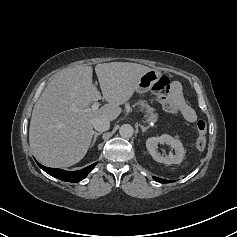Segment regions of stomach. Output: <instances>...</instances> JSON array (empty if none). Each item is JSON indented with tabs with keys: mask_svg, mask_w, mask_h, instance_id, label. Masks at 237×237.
<instances>
[{
	"mask_svg": "<svg viewBox=\"0 0 237 237\" xmlns=\"http://www.w3.org/2000/svg\"><path fill=\"white\" fill-rule=\"evenodd\" d=\"M161 78V73L158 70L151 69L144 73L136 86L135 91L142 94L149 91L152 86Z\"/></svg>",
	"mask_w": 237,
	"mask_h": 237,
	"instance_id": "obj_1",
	"label": "stomach"
}]
</instances>
